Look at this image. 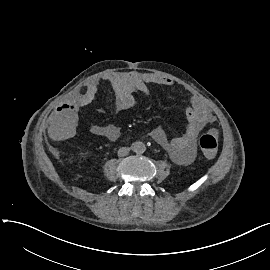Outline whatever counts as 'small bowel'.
Returning <instances> with one entry per match:
<instances>
[{
	"label": "small bowel",
	"mask_w": 270,
	"mask_h": 270,
	"mask_svg": "<svg viewBox=\"0 0 270 270\" xmlns=\"http://www.w3.org/2000/svg\"><path fill=\"white\" fill-rule=\"evenodd\" d=\"M103 81L110 83L115 93V108L117 112L128 111L138 105L135 92L149 95L148 86L151 84L171 87L173 81L155 73L113 72L105 75ZM99 80L88 83L84 92L74 100L61 102L56 107V114L50 115L44 122V131L57 139H70L80 129V120L77 117L79 110L92 102L99 89ZM185 116L187 125L184 132L175 138L169 139L160 128L154 129L150 137L159 144L177 164L190 163L196 155V139L200 131L216 121L215 116L198 97L192 96L186 107ZM211 130H216L212 128ZM90 133L108 141H116L121 136V127L117 124L93 125Z\"/></svg>",
	"instance_id": "1"
}]
</instances>
